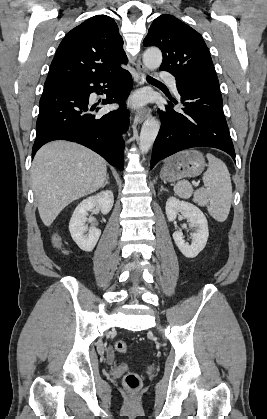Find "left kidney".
I'll use <instances>...</instances> for the list:
<instances>
[{"instance_id": "5707ae66", "label": "left kidney", "mask_w": 267, "mask_h": 419, "mask_svg": "<svg viewBox=\"0 0 267 419\" xmlns=\"http://www.w3.org/2000/svg\"><path fill=\"white\" fill-rule=\"evenodd\" d=\"M165 210L169 221H174L178 213H181L187 218L190 227L196 229L195 232L190 234L193 240L191 245L183 240L182 232L176 231L173 233L175 244L182 254L187 258L196 257L204 249L209 236L208 223L205 215L194 204L180 201L175 197L168 198Z\"/></svg>"}]
</instances>
